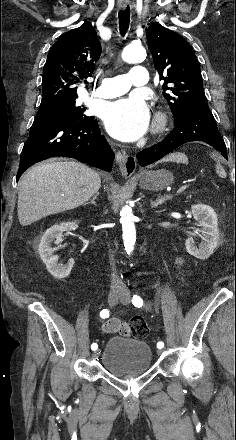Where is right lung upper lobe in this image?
Masks as SVG:
<instances>
[{
  "mask_svg": "<svg viewBox=\"0 0 236 440\" xmlns=\"http://www.w3.org/2000/svg\"><path fill=\"white\" fill-rule=\"evenodd\" d=\"M100 55L101 44L90 22L63 33L48 53L40 106L76 100L77 86L92 76Z\"/></svg>",
  "mask_w": 236,
  "mask_h": 440,
  "instance_id": "1",
  "label": "right lung upper lobe"
}]
</instances>
